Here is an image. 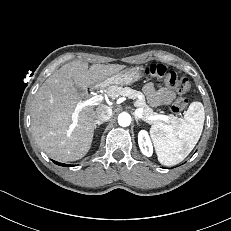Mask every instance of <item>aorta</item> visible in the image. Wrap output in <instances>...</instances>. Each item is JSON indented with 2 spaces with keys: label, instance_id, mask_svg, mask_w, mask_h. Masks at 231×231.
Masks as SVG:
<instances>
[{
  "label": "aorta",
  "instance_id": "762f6f07",
  "mask_svg": "<svg viewBox=\"0 0 231 231\" xmlns=\"http://www.w3.org/2000/svg\"><path fill=\"white\" fill-rule=\"evenodd\" d=\"M118 123L122 127L129 126L130 123H131V116H130V114H128L126 112L120 113L119 116H118Z\"/></svg>",
  "mask_w": 231,
  "mask_h": 231
}]
</instances>
